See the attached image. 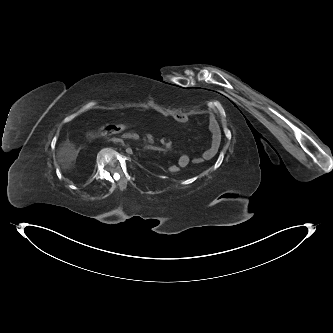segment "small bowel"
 I'll use <instances>...</instances> for the list:
<instances>
[{
  "label": "small bowel",
  "instance_id": "1",
  "mask_svg": "<svg viewBox=\"0 0 333 333\" xmlns=\"http://www.w3.org/2000/svg\"><path fill=\"white\" fill-rule=\"evenodd\" d=\"M172 119L179 123L184 124L189 120V116L186 113H175L172 115ZM208 124L210 131L212 133V140L210 146L204 151V153L193 159V162L196 164H201L205 161L211 160L217 154L220 143H221V134L219 130L218 122L215 116L212 113L208 114ZM190 163V157L187 154H182L176 165L183 166L184 168Z\"/></svg>",
  "mask_w": 333,
  "mask_h": 333
}]
</instances>
